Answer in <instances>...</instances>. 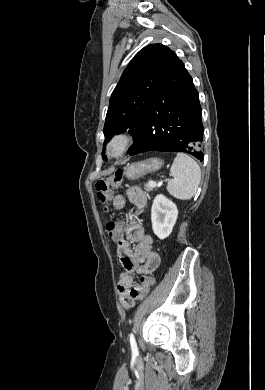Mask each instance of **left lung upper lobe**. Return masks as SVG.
Wrapping results in <instances>:
<instances>
[{
    "instance_id": "5c2ea615",
    "label": "left lung upper lobe",
    "mask_w": 265,
    "mask_h": 390,
    "mask_svg": "<svg viewBox=\"0 0 265 390\" xmlns=\"http://www.w3.org/2000/svg\"><path fill=\"white\" fill-rule=\"evenodd\" d=\"M178 62L177 55L162 44L148 45L135 55L111 95L104 125V148L115 134L129 129L134 138L130 152L151 101ZM102 157L106 160L104 151Z\"/></svg>"
}]
</instances>
